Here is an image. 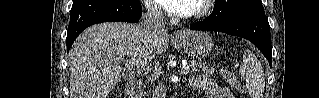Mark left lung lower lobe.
<instances>
[{
  "label": "left lung lower lobe",
  "mask_w": 319,
  "mask_h": 98,
  "mask_svg": "<svg viewBox=\"0 0 319 98\" xmlns=\"http://www.w3.org/2000/svg\"><path fill=\"white\" fill-rule=\"evenodd\" d=\"M193 30L224 32L251 41L272 65L270 26L263 5H252L216 22L200 21L190 25Z\"/></svg>",
  "instance_id": "obj_1"
}]
</instances>
